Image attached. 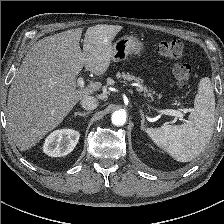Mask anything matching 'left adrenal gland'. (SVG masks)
<instances>
[{"mask_svg": "<svg viewBox=\"0 0 224 224\" xmlns=\"http://www.w3.org/2000/svg\"><path fill=\"white\" fill-rule=\"evenodd\" d=\"M139 111L141 113V129H144V123H145L144 113L141 109Z\"/></svg>", "mask_w": 224, "mask_h": 224, "instance_id": "a2214340", "label": "left adrenal gland"}]
</instances>
